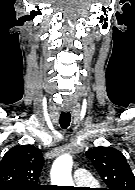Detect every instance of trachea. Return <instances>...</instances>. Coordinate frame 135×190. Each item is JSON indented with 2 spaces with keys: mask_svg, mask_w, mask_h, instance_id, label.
<instances>
[{
  "mask_svg": "<svg viewBox=\"0 0 135 190\" xmlns=\"http://www.w3.org/2000/svg\"><path fill=\"white\" fill-rule=\"evenodd\" d=\"M70 121H71L70 112H62L60 115V126L63 129L68 128V126L70 125Z\"/></svg>",
  "mask_w": 135,
  "mask_h": 190,
  "instance_id": "trachea-1",
  "label": "trachea"
}]
</instances>
